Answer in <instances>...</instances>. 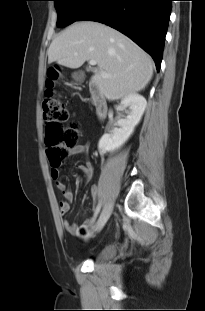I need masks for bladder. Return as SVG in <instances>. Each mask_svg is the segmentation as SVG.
Masks as SVG:
<instances>
[{
  "mask_svg": "<svg viewBox=\"0 0 205 311\" xmlns=\"http://www.w3.org/2000/svg\"><path fill=\"white\" fill-rule=\"evenodd\" d=\"M118 252V246L107 245L103 247L95 256V260L98 261H108L113 259Z\"/></svg>",
  "mask_w": 205,
  "mask_h": 311,
  "instance_id": "obj_1",
  "label": "bladder"
}]
</instances>
